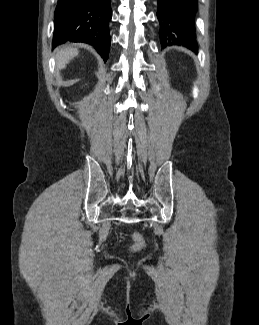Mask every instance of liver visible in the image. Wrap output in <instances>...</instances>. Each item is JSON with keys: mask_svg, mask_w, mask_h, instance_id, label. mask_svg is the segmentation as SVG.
Instances as JSON below:
<instances>
[{"mask_svg": "<svg viewBox=\"0 0 259 325\" xmlns=\"http://www.w3.org/2000/svg\"><path fill=\"white\" fill-rule=\"evenodd\" d=\"M78 55V50L73 47H63L58 49L56 53V68L57 70L64 69L66 65Z\"/></svg>", "mask_w": 259, "mask_h": 325, "instance_id": "1", "label": "liver"}]
</instances>
